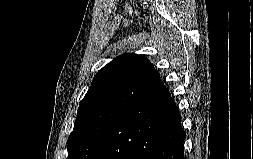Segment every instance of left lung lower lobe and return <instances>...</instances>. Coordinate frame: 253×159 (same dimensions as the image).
<instances>
[{
    "instance_id": "0a47b994",
    "label": "left lung lower lobe",
    "mask_w": 253,
    "mask_h": 159,
    "mask_svg": "<svg viewBox=\"0 0 253 159\" xmlns=\"http://www.w3.org/2000/svg\"><path fill=\"white\" fill-rule=\"evenodd\" d=\"M181 115L160 77L111 124L92 159H185Z\"/></svg>"
}]
</instances>
